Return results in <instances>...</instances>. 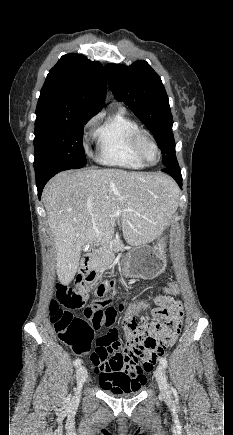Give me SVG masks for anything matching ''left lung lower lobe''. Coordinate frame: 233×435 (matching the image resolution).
<instances>
[{"instance_id": "1", "label": "left lung lower lobe", "mask_w": 233, "mask_h": 435, "mask_svg": "<svg viewBox=\"0 0 233 435\" xmlns=\"http://www.w3.org/2000/svg\"><path fill=\"white\" fill-rule=\"evenodd\" d=\"M165 173H168L170 176L173 177V179L178 183V185L180 187H182V176H181V171L179 168V165H174L171 167H167L165 169L162 170Z\"/></svg>"}]
</instances>
